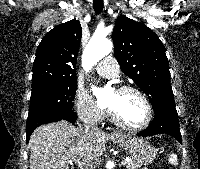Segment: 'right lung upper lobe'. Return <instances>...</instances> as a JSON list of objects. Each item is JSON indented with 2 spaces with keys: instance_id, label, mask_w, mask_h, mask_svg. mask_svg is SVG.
<instances>
[{
  "instance_id": "obj_1",
  "label": "right lung upper lobe",
  "mask_w": 200,
  "mask_h": 169,
  "mask_svg": "<svg viewBox=\"0 0 200 169\" xmlns=\"http://www.w3.org/2000/svg\"><path fill=\"white\" fill-rule=\"evenodd\" d=\"M82 28L76 19L54 27L40 42L33 64L32 88L76 80Z\"/></svg>"
}]
</instances>
